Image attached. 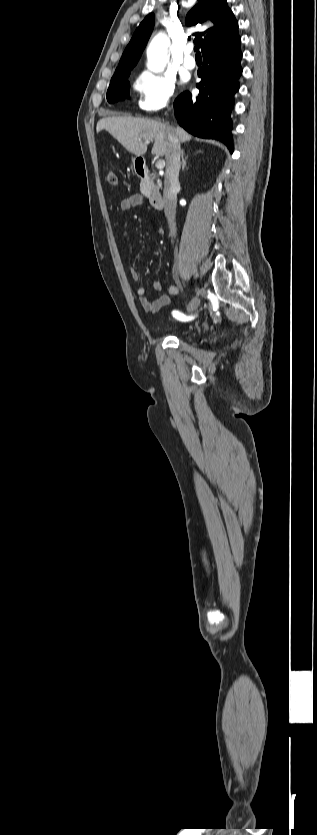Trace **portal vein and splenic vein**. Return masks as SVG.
I'll list each match as a JSON object with an SVG mask.
<instances>
[{
  "instance_id": "portal-vein-and-splenic-vein-1",
  "label": "portal vein and splenic vein",
  "mask_w": 317,
  "mask_h": 835,
  "mask_svg": "<svg viewBox=\"0 0 317 835\" xmlns=\"http://www.w3.org/2000/svg\"><path fill=\"white\" fill-rule=\"evenodd\" d=\"M164 166H165V161H164V160H158V161L156 162V168H160V169H161V168H163Z\"/></svg>"
}]
</instances>
